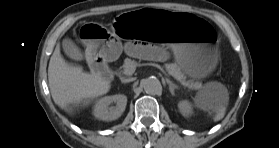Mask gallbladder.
<instances>
[{
  "mask_svg": "<svg viewBox=\"0 0 279 148\" xmlns=\"http://www.w3.org/2000/svg\"><path fill=\"white\" fill-rule=\"evenodd\" d=\"M62 47L65 54L70 58L78 61L84 59L83 52L70 38L63 39Z\"/></svg>",
  "mask_w": 279,
  "mask_h": 148,
  "instance_id": "bac80fb5",
  "label": "gallbladder"
}]
</instances>
